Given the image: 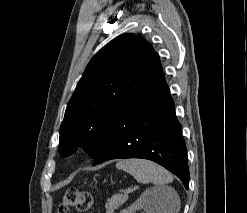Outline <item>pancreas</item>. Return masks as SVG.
<instances>
[{"mask_svg":"<svg viewBox=\"0 0 247 213\" xmlns=\"http://www.w3.org/2000/svg\"><path fill=\"white\" fill-rule=\"evenodd\" d=\"M128 199L127 195L115 194L110 199L107 200L105 208L107 213H113L119 206L123 205Z\"/></svg>","mask_w":247,"mask_h":213,"instance_id":"pancreas-1","label":"pancreas"}]
</instances>
